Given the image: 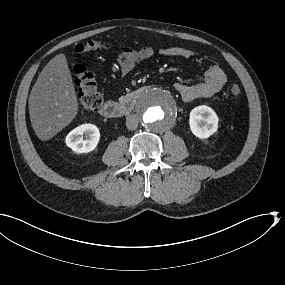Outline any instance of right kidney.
Segmentation results:
<instances>
[{
	"label": "right kidney",
	"instance_id": "1",
	"mask_svg": "<svg viewBox=\"0 0 285 285\" xmlns=\"http://www.w3.org/2000/svg\"><path fill=\"white\" fill-rule=\"evenodd\" d=\"M85 138L83 139V135ZM100 132L94 124H83L73 129L66 136V144L77 153H88L95 149L99 142Z\"/></svg>",
	"mask_w": 285,
	"mask_h": 285
}]
</instances>
